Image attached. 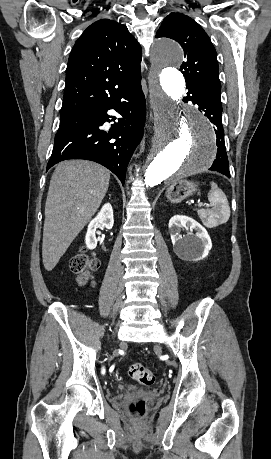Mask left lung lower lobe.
<instances>
[{
	"mask_svg": "<svg viewBox=\"0 0 271 459\" xmlns=\"http://www.w3.org/2000/svg\"><path fill=\"white\" fill-rule=\"evenodd\" d=\"M221 93V91H220ZM220 93H215L209 87L189 89L187 101H192L199 106L200 111L215 125L217 155L209 170L218 171L230 178L229 163L224 141V129L222 125V104Z\"/></svg>",
	"mask_w": 271,
	"mask_h": 459,
	"instance_id": "left-lung-lower-lobe-1",
	"label": "left lung lower lobe"
}]
</instances>
